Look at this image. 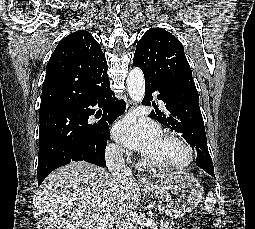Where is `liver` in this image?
I'll list each match as a JSON object with an SVG mask.
<instances>
[{
	"mask_svg": "<svg viewBox=\"0 0 255 229\" xmlns=\"http://www.w3.org/2000/svg\"><path fill=\"white\" fill-rule=\"evenodd\" d=\"M141 193L132 178L117 181L104 168L72 162L53 171L38 190L49 229H111L123 208H137Z\"/></svg>",
	"mask_w": 255,
	"mask_h": 229,
	"instance_id": "obj_1",
	"label": "liver"
}]
</instances>
